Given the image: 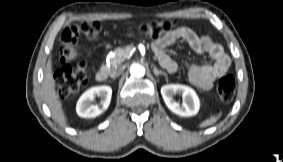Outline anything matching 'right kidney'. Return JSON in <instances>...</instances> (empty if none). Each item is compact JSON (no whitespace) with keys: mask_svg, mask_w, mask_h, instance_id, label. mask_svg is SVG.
Listing matches in <instances>:
<instances>
[{"mask_svg":"<svg viewBox=\"0 0 283 162\" xmlns=\"http://www.w3.org/2000/svg\"><path fill=\"white\" fill-rule=\"evenodd\" d=\"M100 97L99 104H92L95 97ZM112 88L110 86L102 85L88 89L79 98L76 105V112L83 118H94L105 111L111 101Z\"/></svg>","mask_w":283,"mask_h":162,"instance_id":"right-kidney-1","label":"right kidney"}]
</instances>
